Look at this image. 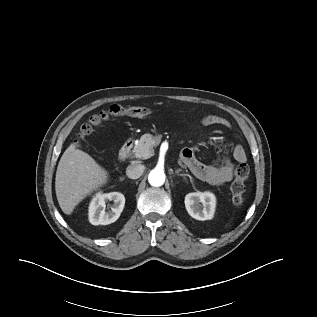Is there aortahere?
I'll return each instance as SVG.
<instances>
[{"instance_id": "aorta-1", "label": "aorta", "mask_w": 317, "mask_h": 317, "mask_svg": "<svg viewBox=\"0 0 317 317\" xmlns=\"http://www.w3.org/2000/svg\"><path fill=\"white\" fill-rule=\"evenodd\" d=\"M165 173L160 168H154L148 175V182L154 187H160L165 182Z\"/></svg>"}]
</instances>
